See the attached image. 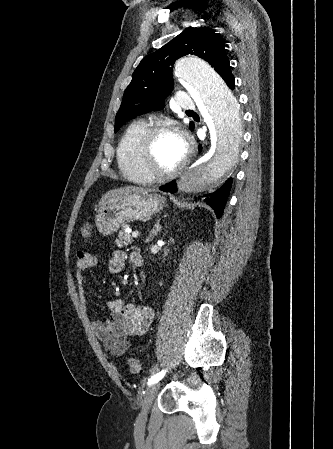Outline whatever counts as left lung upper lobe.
<instances>
[{
  "label": "left lung upper lobe",
  "mask_w": 333,
  "mask_h": 449,
  "mask_svg": "<svg viewBox=\"0 0 333 449\" xmlns=\"http://www.w3.org/2000/svg\"><path fill=\"white\" fill-rule=\"evenodd\" d=\"M194 54L206 60L223 78L230 72L225 43L214 30L188 28L159 50L146 56L133 73L115 118V131L126 121L164 107L173 89L172 65L176 59ZM190 129L194 124L190 122Z\"/></svg>",
  "instance_id": "1"
}]
</instances>
